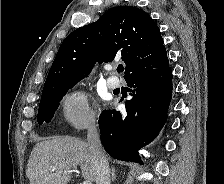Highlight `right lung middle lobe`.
I'll return each instance as SVG.
<instances>
[{"instance_id": "right-lung-middle-lobe-1", "label": "right lung middle lobe", "mask_w": 224, "mask_h": 184, "mask_svg": "<svg viewBox=\"0 0 224 184\" xmlns=\"http://www.w3.org/2000/svg\"><path fill=\"white\" fill-rule=\"evenodd\" d=\"M75 84L69 85L54 94L41 98L37 120L39 124L44 121L49 123L53 117L56 109L59 106V102L62 97L66 94L69 88L73 87Z\"/></svg>"}]
</instances>
